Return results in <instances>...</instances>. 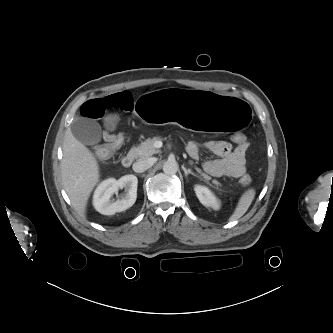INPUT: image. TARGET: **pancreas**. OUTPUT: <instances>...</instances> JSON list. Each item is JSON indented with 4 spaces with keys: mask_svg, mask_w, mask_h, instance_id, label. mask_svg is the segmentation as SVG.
<instances>
[{
    "mask_svg": "<svg viewBox=\"0 0 333 333\" xmlns=\"http://www.w3.org/2000/svg\"><path fill=\"white\" fill-rule=\"evenodd\" d=\"M162 139L159 136L148 138L144 142H142L138 147H134L129 151V155L133 158H139V159H145L153 154H156L159 152L158 149L155 148L154 144L156 141H161ZM197 171L201 174V176L206 180H210V176L203 173L200 169H197ZM212 183L215 186H220V182L217 180H212Z\"/></svg>",
    "mask_w": 333,
    "mask_h": 333,
    "instance_id": "1",
    "label": "pancreas"
}]
</instances>
